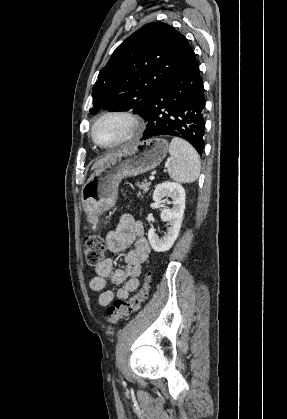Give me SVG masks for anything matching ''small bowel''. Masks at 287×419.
I'll list each match as a JSON object with an SVG mask.
<instances>
[{"instance_id":"1","label":"small bowel","mask_w":287,"mask_h":419,"mask_svg":"<svg viewBox=\"0 0 287 419\" xmlns=\"http://www.w3.org/2000/svg\"><path fill=\"white\" fill-rule=\"evenodd\" d=\"M144 234V224L127 215L121 218L115 230L107 233L106 243L111 252H123L132 244L134 247L124 257V268L114 269L110 259L96 267L97 275L91 279L90 287L92 290L100 292L99 303L102 306L110 304L114 298L127 299L130 293L138 289L142 265L151 251ZM107 279L121 287L116 291L106 289Z\"/></svg>"}]
</instances>
